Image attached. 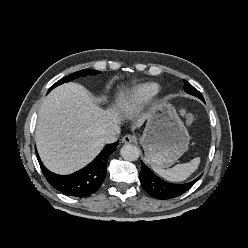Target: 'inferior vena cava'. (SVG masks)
<instances>
[{
  "mask_svg": "<svg viewBox=\"0 0 248 248\" xmlns=\"http://www.w3.org/2000/svg\"><path fill=\"white\" fill-rule=\"evenodd\" d=\"M119 132H113V133H107L102 137V141L104 143H114L118 139V134Z\"/></svg>",
  "mask_w": 248,
  "mask_h": 248,
  "instance_id": "inferior-vena-cava-1",
  "label": "inferior vena cava"
}]
</instances>
